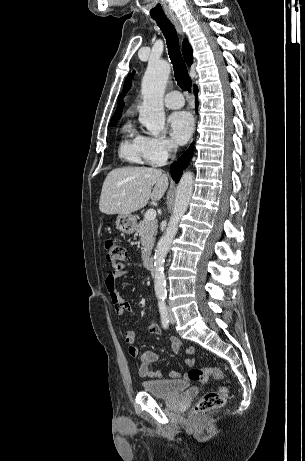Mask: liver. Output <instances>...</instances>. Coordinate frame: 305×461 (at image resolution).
I'll use <instances>...</instances> for the list:
<instances>
[{"label": "liver", "mask_w": 305, "mask_h": 461, "mask_svg": "<svg viewBox=\"0 0 305 461\" xmlns=\"http://www.w3.org/2000/svg\"><path fill=\"white\" fill-rule=\"evenodd\" d=\"M161 170L148 167L118 168L108 173L101 191L99 209L105 214L128 215L160 200L168 188Z\"/></svg>", "instance_id": "6515ba94"}]
</instances>
